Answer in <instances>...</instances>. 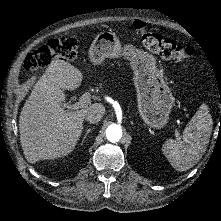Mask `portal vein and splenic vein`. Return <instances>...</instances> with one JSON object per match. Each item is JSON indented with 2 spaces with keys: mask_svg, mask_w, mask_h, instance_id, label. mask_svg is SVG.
<instances>
[{
  "mask_svg": "<svg viewBox=\"0 0 221 221\" xmlns=\"http://www.w3.org/2000/svg\"><path fill=\"white\" fill-rule=\"evenodd\" d=\"M90 105V97L87 94H83L78 101L69 104V103H64L62 107L67 108L68 110L71 111H76L82 108H86ZM175 137H179V130L178 128H175Z\"/></svg>",
  "mask_w": 221,
  "mask_h": 221,
  "instance_id": "portal-vein-and-splenic-vein-1",
  "label": "portal vein and splenic vein"
}]
</instances>
